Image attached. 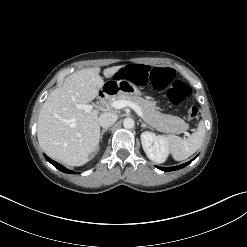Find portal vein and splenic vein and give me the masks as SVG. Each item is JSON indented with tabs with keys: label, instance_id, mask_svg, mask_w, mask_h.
I'll return each mask as SVG.
<instances>
[{
	"label": "portal vein and splenic vein",
	"instance_id": "portal-vein-and-splenic-vein-1",
	"mask_svg": "<svg viewBox=\"0 0 247 247\" xmlns=\"http://www.w3.org/2000/svg\"><path fill=\"white\" fill-rule=\"evenodd\" d=\"M109 105L113 109H117V110L123 109V108L128 106V107L132 108L137 113V115L139 117L143 118V112H142L141 108L137 104H135L134 102L126 101V100H118V101L111 102ZM76 108L84 110L86 113H88L93 109V106L90 104H77Z\"/></svg>",
	"mask_w": 247,
	"mask_h": 247
}]
</instances>
